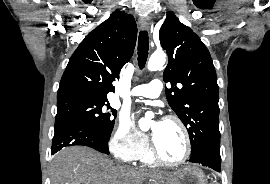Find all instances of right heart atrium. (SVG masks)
Listing matches in <instances>:
<instances>
[{
	"instance_id": "obj_1",
	"label": "right heart atrium",
	"mask_w": 270,
	"mask_h": 184,
	"mask_svg": "<svg viewBox=\"0 0 270 184\" xmlns=\"http://www.w3.org/2000/svg\"><path fill=\"white\" fill-rule=\"evenodd\" d=\"M109 148L115 157L132 162L148 148L147 137L139 132L127 117H121L114 128Z\"/></svg>"
}]
</instances>
